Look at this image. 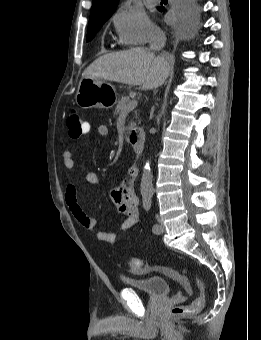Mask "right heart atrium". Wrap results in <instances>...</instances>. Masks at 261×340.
<instances>
[{"label":"right heart atrium","instance_id":"obj_1","mask_svg":"<svg viewBox=\"0 0 261 340\" xmlns=\"http://www.w3.org/2000/svg\"><path fill=\"white\" fill-rule=\"evenodd\" d=\"M112 21L120 41L125 45H143L149 38L160 34V29L145 12L137 8H119Z\"/></svg>","mask_w":261,"mask_h":340}]
</instances>
